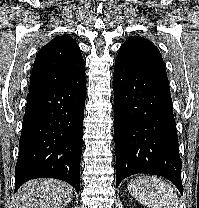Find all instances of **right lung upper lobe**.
Instances as JSON below:
<instances>
[{"label":"right lung upper lobe","instance_id":"cb5924a9","mask_svg":"<svg viewBox=\"0 0 199 208\" xmlns=\"http://www.w3.org/2000/svg\"><path fill=\"white\" fill-rule=\"evenodd\" d=\"M85 76V63L70 36H59L43 46L35 59L29 92L69 84Z\"/></svg>","mask_w":199,"mask_h":208}]
</instances>
